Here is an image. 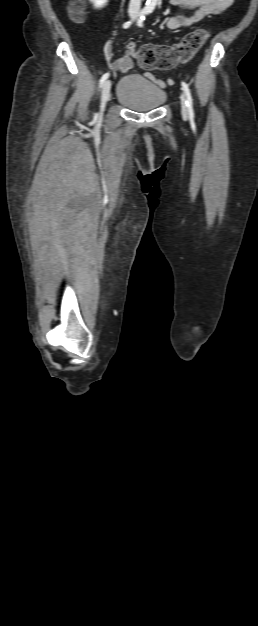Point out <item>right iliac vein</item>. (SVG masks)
I'll return each mask as SVG.
<instances>
[{
	"mask_svg": "<svg viewBox=\"0 0 258 626\" xmlns=\"http://www.w3.org/2000/svg\"><path fill=\"white\" fill-rule=\"evenodd\" d=\"M110 90H111V81L107 80L104 82V85L102 88L101 103H100V116H102L105 106L109 100Z\"/></svg>",
	"mask_w": 258,
	"mask_h": 626,
	"instance_id": "1",
	"label": "right iliac vein"
}]
</instances>
